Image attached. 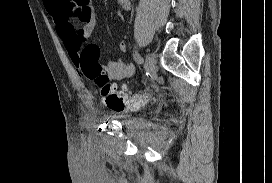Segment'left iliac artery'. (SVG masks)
I'll return each mask as SVG.
<instances>
[{"label": "left iliac artery", "mask_w": 272, "mask_h": 183, "mask_svg": "<svg viewBox=\"0 0 272 183\" xmlns=\"http://www.w3.org/2000/svg\"><path fill=\"white\" fill-rule=\"evenodd\" d=\"M133 58L138 64H141L143 62V58L137 51L133 52Z\"/></svg>", "instance_id": "left-iliac-artery-1"}]
</instances>
